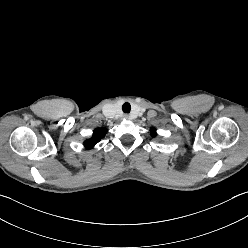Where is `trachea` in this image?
Wrapping results in <instances>:
<instances>
[{"mask_svg":"<svg viewBox=\"0 0 248 248\" xmlns=\"http://www.w3.org/2000/svg\"><path fill=\"white\" fill-rule=\"evenodd\" d=\"M122 110L125 113H129L131 110V105L128 102H125L122 106Z\"/></svg>","mask_w":248,"mask_h":248,"instance_id":"trachea-1","label":"trachea"}]
</instances>
